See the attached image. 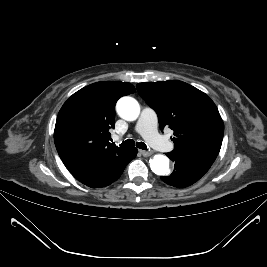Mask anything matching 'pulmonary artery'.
Wrapping results in <instances>:
<instances>
[{
  "mask_svg": "<svg viewBox=\"0 0 267 267\" xmlns=\"http://www.w3.org/2000/svg\"><path fill=\"white\" fill-rule=\"evenodd\" d=\"M157 126L158 118L156 112L149 107L143 108L136 123L135 130L141 134L152 147L161 151H170L173 145L158 133Z\"/></svg>",
  "mask_w": 267,
  "mask_h": 267,
  "instance_id": "pulmonary-artery-1",
  "label": "pulmonary artery"
}]
</instances>
